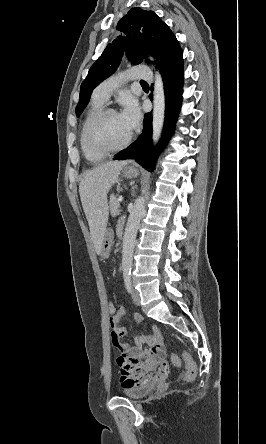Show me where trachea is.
<instances>
[{"instance_id":"3493384b","label":"trachea","mask_w":266,"mask_h":444,"mask_svg":"<svg viewBox=\"0 0 266 444\" xmlns=\"http://www.w3.org/2000/svg\"><path fill=\"white\" fill-rule=\"evenodd\" d=\"M140 82H141V83H146L144 80H141Z\"/></svg>"}]
</instances>
